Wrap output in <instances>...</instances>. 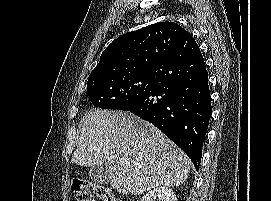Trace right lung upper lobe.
<instances>
[{"mask_svg": "<svg viewBox=\"0 0 271 201\" xmlns=\"http://www.w3.org/2000/svg\"><path fill=\"white\" fill-rule=\"evenodd\" d=\"M188 35L173 22H159L123 34L103 51L89 78L125 72H153Z\"/></svg>", "mask_w": 271, "mask_h": 201, "instance_id": "obj_1", "label": "right lung upper lobe"}]
</instances>
